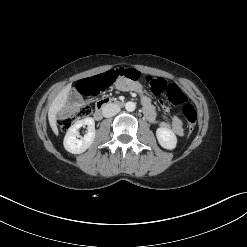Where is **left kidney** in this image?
<instances>
[{"mask_svg":"<svg viewBox=\"0 0 247 247\" xmlns=\"http://www.w3.org/2000/svg\"><path fill=\"white\" fill-rule=\"evenodd\" d=\"M156 136L159 144L168 150H173L177 145V137L174 132L168 128L160 127L156 130Z\"/></svg>","mask_w":247,"mask_h":247,"instance_id":"5707ae66","label":"left kidney"}]
</instances>
